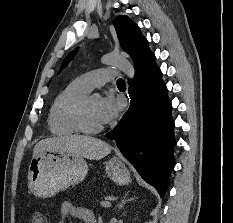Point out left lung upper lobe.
<instances>
[{"mask_svg": "<svg viewBox=\"0 0 233 223\" xmlns=\"http://www.w3.org/2000/svg\"><path fill=\"white\" fill-rule=\"evenodd\" d=\"M114 27L123 50L128 53L134 63L139 58L143 50L148 46V41L142 36L139 27L127 16L120 15L114 20ZM78 52V48L73 50L65 58L59 70L61 72Z\"/></svg>", "mask_w": 233, "mask_h": 223, "instance_id": "5c2ea615", "label": "left lung upper lobe"}]
</instances>
